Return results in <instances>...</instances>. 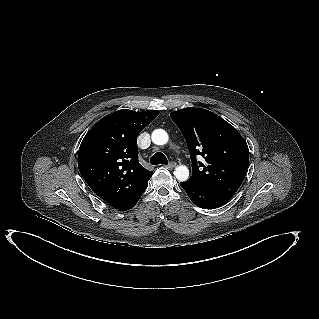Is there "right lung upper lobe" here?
Masks as SVG:
<instances>
[{
    "mask_svg": "<svg viewBox=\"0 0 319 319\" xmlns=\"http://www.w3.org/2000/svg\"><path fill=\"white\" fill-rule=\"evenodd\" d=\"M158 114L121 109L99 120L84 137L78 153L79 171L104 201H116L153 173L138 161L137 136Z\"/></svg>",
    "mask_w": 319,
    "mask_h": 319,
    "instance_id": "obj_1",
    "label": "right lung upper lobe"
}]
</instances>
